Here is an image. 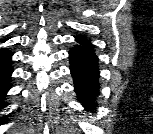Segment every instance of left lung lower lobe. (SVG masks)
Wrapping results in <instances>:
<instances>
[{"mask_svg": "<svg viewBox=\"0 0 153 134\" xmlns=\"http://www.w3.org/2000/svg\"><path fill=\"white\" fill-rule=\"evenodd\" d=\"M69 51L70 70L74 79V90L78 101L88 111L97 107L96 98L99 94L100 69L98 56L93 46L80 42Z\"/></svg>", "mask_w": 153, "mask_h": 134, "instance_id": "0a47b994", "label": "left lung lower lobe"}]
</instances>
